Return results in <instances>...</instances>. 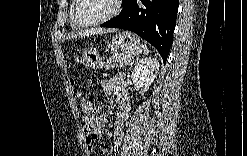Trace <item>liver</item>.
Wrapping results in <instances>:
<instances>
[{
	"label": "liver",
	"mask_w": 247,
	"mask_h": 156,
	"mask_svg": "<svg viewBox=\"0 0 247 156\" xmlns=\"http://www.w3.org/2000/svg\"><path fill=\"white\" fill-rule=\"evenodd\" d=\"M116 29H102V28H94V29H89V30H85V31H80L78 33H73L71 34V36H69V38H77V37H85V36H89V35H96V34H103V33H111V32H115Z\"/></svg>",
	"instance_id": "obj_1"
}]
</instances>
